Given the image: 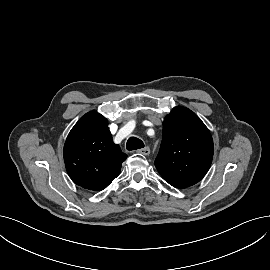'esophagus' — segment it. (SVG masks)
<instances>
[{
    "label": "esophagus",
    "instance_id": "1",
    "mask_svg": "<svg viewBox=\"0 0 270 270\" xmlns=\"http://www.w3.org/2000/svg\"><path fill=\"white\" fill-rule=\"evenodd\" d=\"M138 153L143 154V155H149L150 154V148L149 147H144L142 149L137 150Z\"/></svg>",
    "mask_w": 270,
    "mask_h": 270
}]
</instances>
